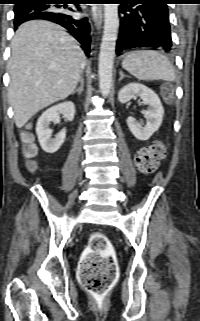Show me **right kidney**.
Listing matches in <instances>:
<instances>
[{
	"label": "right kidney",
	"instance_id": "ca27d5eb",
	"mask_svg": "<svg viewBox=\"0 0 200 321\" xmlns=\"http://www.w3.org/2000/svg\"><path fill=\"white\" fill-rule=\"evenodd\" d=\"M63 114L68 121L74 119L75 106L71 101L63 102L47 109L38 119L36 134L42 149L47 153H55L66 138V130L60 131L55 138H51L52 130L49 128L51 122Z\"/></svg>",
	"mask_w": 200,
	"mask_h": 321
}]
</instances>
